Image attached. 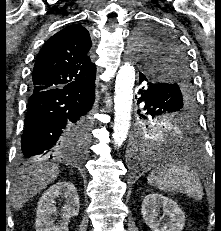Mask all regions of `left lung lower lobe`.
Listing matches in <instances>:
<instances>
[{"mask_svg": "<svg viewBox=\"0 0 221 231\" xmlns=\"http://www.w3.org/2000/svg\"><path fill=\"white\" fill-rule=\"evenodd\" d=\"M148 81L146 76L139 73V82ZM162 84L148 83L147 87L139 89L141 97L138 103L154 100L165 91ZM178 128L171 129L160 135L154 140L149 141L148 146H143L137 139L131 150L133 157L142 161H153L168 153L173 154L172 158L184 165H190L193 162V152L199 150L200 140L197 133V122L193 117H187L177 123Z\"/></svg>", "mask_w": 221, "mask_h": 231, "instance_id": "left-lung-lower-lobe-1", "label": "left lung lower lobe"}]
</instances>
